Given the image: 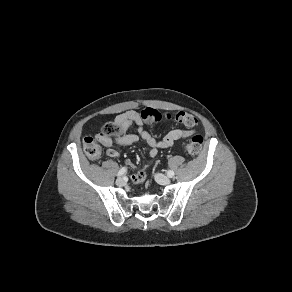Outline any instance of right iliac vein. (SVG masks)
Instances as JSON below:
<instances>
[{
	"label": "right iliac vein",
	"instance_id": "63e3f726",
	"mask_svg": "<svg viewBox=\"0 0 292 292\" xmlns=\"http://www.w3.org/2000/svg\"><path fill=\"white\" fill-rule=\"evenodd\" d=\"M116 184L118 185V186H123V185H125V179L124 178H118L117 180H116Z\"/></svg>",
	"mask_w": 292,
	"mask_h": 292
}]
</instances>
